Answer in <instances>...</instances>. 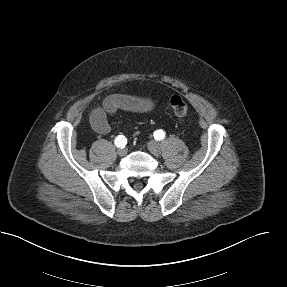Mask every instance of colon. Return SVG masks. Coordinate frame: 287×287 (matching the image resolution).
Listing matches in <instances>:
<instances>
[{
    "instance_id": "obj_1",
    "label": "colon",
    "mask_w": 287,
    "mask_h": 287,
    "mask_svg": "<svg viewBox=\"0 0 287 287\" xmlns=\"http://www.w3.org/2000/svg\"><path fill=\"white\" fill-rule=\"evenodd\" d=\"M169 105L173 113L178 117H184L189 112L187 102L179 95H174L169 100Z\"/></svg>"
}]
</instances>
